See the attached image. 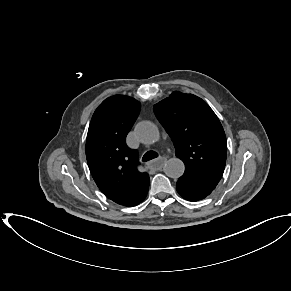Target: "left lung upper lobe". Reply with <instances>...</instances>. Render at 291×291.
Masks as SVG:
<instances>
[{
    "label": "left lung upper lobe",
    "mask_w": 291,
    "mask_h": 291,
    "mask_svg": "<svg viewBox=\"0 0 291 291\" xmlns=\"http://www.w3.org/2000/svg\"><path fill=\"white\" fill-rule=\"evenodd\" d=\"M154 112L172 138L176 156L185 164L176 188L207 197L222 178L227 156L218 117L201 98L177 91L155 104Z\"/></svg>",
    "instance_id": "1"
}]
</instances>
